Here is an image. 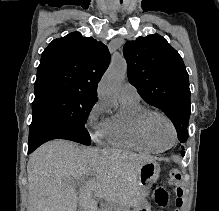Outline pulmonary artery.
I'll return each mask as SVG.
<instances>
[{"instance_id":"1","label":"pulmonary artery","mask_w":219,"mask_h":211,"mask_svg":"<svg viewBox=\"0 0 219 211\" xmlns=\"http://www.w3.org/2000/svg\"><path fill=\"white\" fill-rule=\"evenodd\" d=\"M140 95L135 86L125 83L120 92V101H139Z\"/></svg>"}]
</instances>
